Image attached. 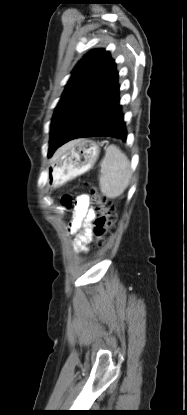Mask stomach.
<instances>
[{"mask_svg":"<svg viewBox=\"0 0 187 415\" xmlns=\"http://www.w3.org/2000/svg\"><path fill=\"white\" fill-rule=\"evenodd\" d=\"M100 154L99 144L89 139H79L57 156L47 167L48 184L58 187L89 171Z\"/></svg>","mask_w":187,"mask_h":415,"instance_id":"obj_1","label":"stomach"}]
</instances>
